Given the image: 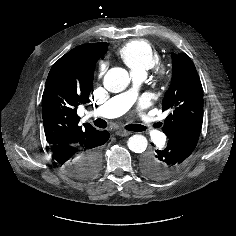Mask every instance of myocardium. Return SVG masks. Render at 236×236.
<instances>
[{"instance_id":"myocardium-1","label":"myocardium","mask_w":236,"mask_h":236,"mask_svg":"<svg viewBox=\"0 0 236 236\" xmlns=\"http://www.w3.org/2000/svg\"><path fill=\"white\" fill-rule=\"evenodd\" d=\"M155 69H156L157 79L159 81H164L169 73L168 68L164 64L159 63L155 65Z\"/></svg>"}]
</instances>
